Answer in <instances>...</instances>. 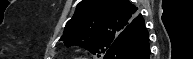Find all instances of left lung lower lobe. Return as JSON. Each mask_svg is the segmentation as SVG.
<instances>
[{"mask_svg":"<svg viewBox=\"0 0 193 59\" xmlns=\"http://www.w3.org/2000/svg\"><path fill=\"white\" fill-rule=\"evenodd\" d=\"M105 59H150L149 34L142 16L127 28L123 36L114 41Z\"/></svg>","mask_w":193,"mask_h":59,"instance_id":"1","label":"left lung lower lobe"}]
</instances>
